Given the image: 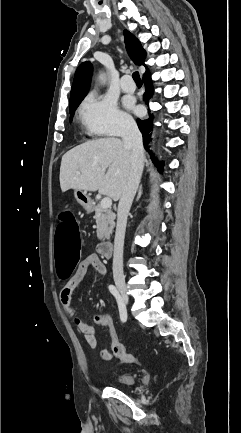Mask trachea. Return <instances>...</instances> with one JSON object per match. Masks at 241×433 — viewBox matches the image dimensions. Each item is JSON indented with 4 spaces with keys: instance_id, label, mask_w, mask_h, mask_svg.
<instances>
[{
    "instance_id": "3493384b",
    "label": "trachea",
    "mask_w": 241,
    "mask_h": 433,
    "mask_svg": "<svg viewBox=\"0 0 241 433\" xmlns=\"http://www.w3.org/2000/svg\"><path fill=\"white\" fill-rule=\"evenodd\" d=\"M132 77H133V79H134V81L138 84V85H142V81H141V79H140V75H139V72H134L133 74H132Z\"/></svg>"
}]
</instances>
